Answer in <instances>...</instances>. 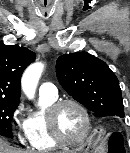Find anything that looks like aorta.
<instances>
[{"label": "aorta", "instance_id": "762f6f07", "mask_svg": "<svg viewBox=\"0 0 130 153\" xmlns=\"http://www.w3.org/2000/svg\"><path fill=\"white\" fill-rule=\"evenodd\" d=\"M44 64L35 62L31 64L23 73L21 87L29 99H34L38 81L42 75Z\"/></svg>", "mask_w": 130, "mask_h": 153}]
</instances>
